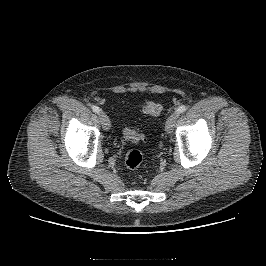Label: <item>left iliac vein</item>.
Instances as JSON below:
<instances>
[{
    "instance_id": "left-iliac-vein-1",
    "label": "left iliac vein",
    "mask_w": 266,
    "mask_h": 266,
    "mask_svg": "<svg viewBox=\"0 0 266 266\" xmlns=\"http://www.w3.org/2000/svg\"><path fill=\"white\" fill-rule=\"evenodd\" d=\"M179 114L177 112L172 113L165 124V129L168 134H170L173 130L175 120L178 118Z\"/></svg>"
}]
</instances>
